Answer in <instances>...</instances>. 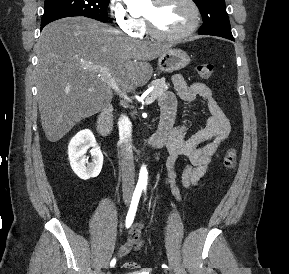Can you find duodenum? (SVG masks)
Wrapping results in <instances>:
<instances>
[{"label":"duodenum","mask_w":289,"mask_h":274,"mask_svg":"<svg viewBox=\"0 0 289 274\" xmlns=\"http://www.w3.org/2000/svg\"><path fill=\"white\" fill-rule=\"evenodd\" d=\"M175 114L173 112H164L161 114L160 121L156 132L142 146L148 149H159L163 147L172 130ZM112 127V108L107 106L101 112L97 121V130L103 137L110 134Z\"/></svg>","instance_id":"duodenum-1"}]
</instances>
